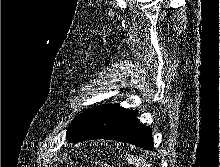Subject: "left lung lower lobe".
<instances>
[{
  "mask_svg": "<svg viewBox=\"0 0 220 167\" xmlns=\"http://www.w3.org/2000/svg\"><path fill=\"white\" fill-rule=\"evenodd\" d=\"M93 139H112L126 142L147 150H153L151 129L139 123L134 112L108 105L87 132L72 143Z\"/></svg>",
  "mask_w": 220,
  "mask_h": 167,
  "instance_id": "left-lung-lower-lobe-1",
  "label": "left lung lower lobe"
}]
</instances>
